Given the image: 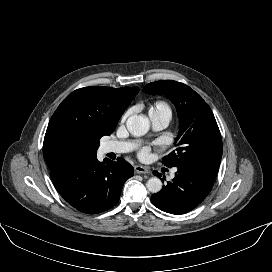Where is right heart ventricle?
<instances>
[{"label": "right heart ventricle", "mask_w": 272, "mask_h": 272, "mask_svg": "<svg viewBox=\"0 0 272 272\" xmlns=\"http://www.w3.org/2000/svg\"><path fill=\"white\" fill-rule=\"evenodd\" d=\"M148 118H154L157 116H166L171 119L172 110L165 101H156L147 107Z\"/></svg>", "instance_id": "e07e8e85"}]
</instances>
